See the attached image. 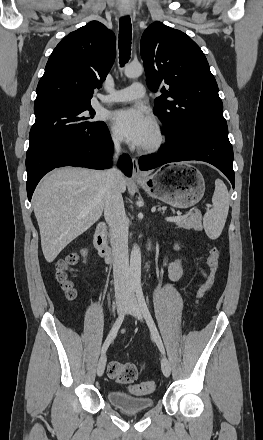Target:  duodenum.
Returning <instances> with one entry per match:
<instances>
[{
  "instance_id": "1",
  "label": "duodenum",
  "mask_w": 263,
  "mask_h": 440,
  "mask_svg": "<svg viewBox=\"0 0 263 440\" xmlns=\"http://www.w3.org/2000/svg\"><path fill=\"white\" fill-rule=\"evenodd\" d=\"M106 231H107V225L105 223H99L95 230L93 242L99 255L102 258H104L107 262H111L112 252L107 241Z\"/></svg>"
}]
</instances>
